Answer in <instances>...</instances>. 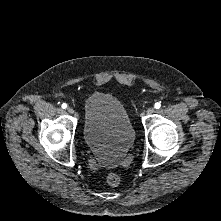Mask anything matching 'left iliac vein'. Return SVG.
<instances>
[{"label":"left iliac vein","mask_w":221,"mask_h":221,"mask_svg":"<svg viewBox=\"0 0 221 221\" xmlns=\"http://www.w3.org/2000/svg\"><path fill=\"white\" fill-rule=\"evenodd\" d=\"M155 112V109L153 107H150L147 109V114H153Z\"/></svg>","instance_id":"obj_1"}]
</instances>
